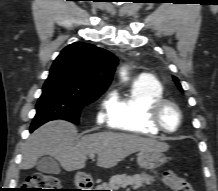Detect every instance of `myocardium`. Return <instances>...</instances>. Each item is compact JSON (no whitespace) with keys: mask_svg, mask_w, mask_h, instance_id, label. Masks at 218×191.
Wrapping results in <instances>:
<instances>
[{"mask_svg":"<svg viewBox=\"0 0 218 191\" xmlns=\"http://www.w3.org/2000/svg\"><path fill=\"white\" fill-rule=\"evenodd\" d=\"M166 106L174 107L178 113L179 123H178L177 128L174 130L166 129L161 122V113ZM149 121L160 132H163L166 134H175L181 129L183 125V121H184V116H183V112L180 106L177 103L169 99L163 98V99L158 100L151 106V109L149 112Z\"/></svg>","mask_w":218,"mask_h":191,"instance_id":"1","label":"myocardium"}]
</instances>
